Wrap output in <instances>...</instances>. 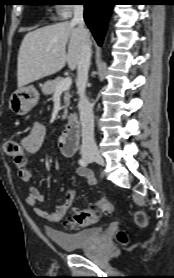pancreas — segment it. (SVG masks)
<instances>
[{
	"label": "pancreas",
	"instance_id": "1",
	"mask_svg": "<svg viewBox=\"0 0 174 278\" xmlns=\"http://www.w3.org/2000/svg\"><path fill=\"white\" fill-rule=\"evenodd\" d=\"M63 81V78L62 77H58L54 80H49L47 82L44 83L43 87H42V92L44 95H51L53 93L56 92V87L57 85ZM70 94H69V90H65L64 91V115H63V118L65 119L67 117V113H68V110L67 108L69 107L70 105Z\"/></svg>",
	"mask_w": 174,
	"mask_h": 278
}]
</instances>
